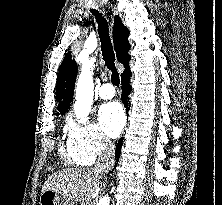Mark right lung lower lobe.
Listing matches in <instances>:
<instances>
[{
	"mask_svg": "<svg viewBox=\"0 0 222 205\" xmlns=\"http://www.w3.org/2000/svg\"><path fill=\"white\" fill-rule=\"evenodd\" d=\"M132 75L131 72L125 74L123 77H122V102L124 104V106L126 107V111L129 110V93L131 92L132 90V87L130 86V76ZM122 142H123V138H120L118 143H117V146H116V150H115V157H116V162L118 161L119 159V156H120V152H121V147H122Z\"/></svg>",
	"mask_w": 222,
	"mask_h": 205,
	"instance_id": "right-lung-lower-lobe-1",
	"label": "right lung lower lobe"
}]
</instances>
